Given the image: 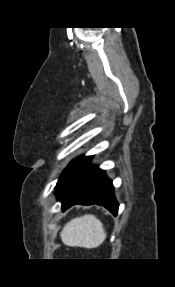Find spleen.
Here are the masks:
<instances>
[{
	"instance_id": "spleen-1",
	"label": "spleen",
	"mask_w": 175,
	"mask_h": 287,
	"mask_svg": "<svg viewBox=\"0 0 175 287\" xmlns=\"http://www.w3.org/2000/svg\"><path fill=\"white\" fill-rule=\"evenodd\" d=\"M60 236L67 246L91 249L101 245L107 234L102 222L96 216L86 214L70 220L64 226Z\"/></svg>"
}]
</instances>
